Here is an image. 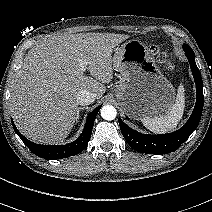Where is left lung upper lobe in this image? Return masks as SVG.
Returning <instances> with one entry per match:
<instances>
[{"label": "left lung upper lobe", "instance_id": "5c2ea615", "mask_svg": "<svg viewBox=\"0 0 212 212\" xmlns=\"http://www.w3.org/2000/svg\"><path fill=\"white\" fill-rule=\"evenodd\" d=\"M183 48H184V51H186V52H193V50L191 49V47L188 46V45H186V44L183 46Z\"/></svg>", "mask_w": 212, "mask_h": 212}]
</instances>
